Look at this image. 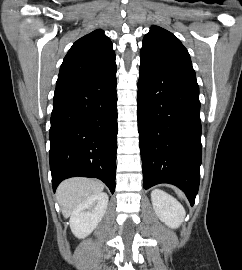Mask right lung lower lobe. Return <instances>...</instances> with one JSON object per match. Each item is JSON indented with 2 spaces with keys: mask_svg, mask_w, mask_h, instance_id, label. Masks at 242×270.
<instances>
[{
  "mask_svg": "<svg viewBox=\"0 0 242 270\" xmlns=\"http://www.w3.org/2000/svg\"><path fill=\"white\" fill-rule=\"evenodd\" d=\"M116 64L55 91L51 114L50 169L55 191L69 177H95L115 190L117 152Z\"/></svg>",
  "mask_w": 242,
  "mask_h": 270,
  "instance_id": "1",
  "label": "right lung lower lobe"
}]
</instances>
